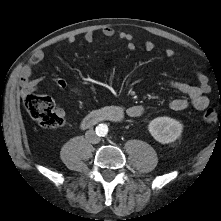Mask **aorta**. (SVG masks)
<instances>
[{"mask_svg":"<svg viewBox=\"0 0 221 221\" xmlns=\"http://www.w3.org/2000/svg\"><path fill=\"white\" fill-rule=\"evenodd\" d=\"M96 133L98 136H106L107 133H108V126L106 124H99L97 127H96Z\"/></svg>","mask_w":221,"mask_h":221,"instance_id":"aorta-1","label":"aorta"}]
</instances>
